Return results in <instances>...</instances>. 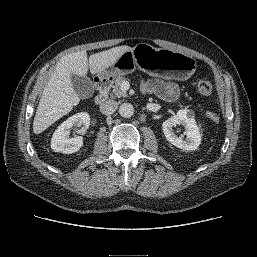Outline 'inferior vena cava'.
<instances>
[{"label": "inferior vena cava", "instance_id": "inferior-vena-cava-1", "mask_svg": "<svg viewBox=\"0 0 257 257\" xmlns=\"http://www.w3.org/2000/svg\"><path fill=\"white\" fill-rule=\"evenodd\" d=\"M117 108H118V104L114 100H107L100 105V111L105 115L113 114Z\"/></svg>", "mask_w": 257, "mask_h": 257}]
</instances>
